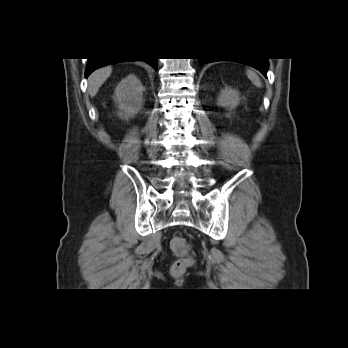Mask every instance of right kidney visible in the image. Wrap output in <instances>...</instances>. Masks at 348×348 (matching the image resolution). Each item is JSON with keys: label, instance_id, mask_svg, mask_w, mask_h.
<instances>
[{"label": "right kidney", "instance_id": "1", "mask_svg": "<svg viewBox=\"0 0 348 348\" xmlns=\"http://www.w3.org/2000/svg\"><path fill=\"white\" fill-rule=\"evenodd\" d=\"M144 88L136 75L130 74L120 81L114 93L119 116L130 117L136 114L143 106Z\"/></svg>", "mask_w": 348, "mask_h": 348}]
</instances>
